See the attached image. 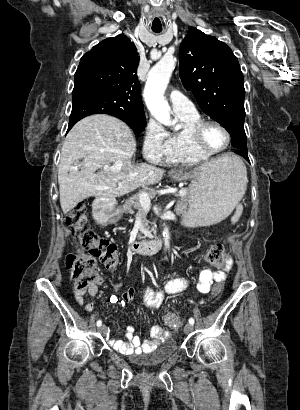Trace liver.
I'll list each match as a JSON object with an SVG mask.
<instances>
[{
	"mask_svg": "<svg viewBox=\"0 0 300 410\" xmlns=\"http://www.w3.org/2000/svg\"><path fill=\"white\" fill-rule=\"evenodd\" d=\"M136 141L129 127L108 115H92L77 122L62 147L58 168L60 205L64 214L88 197H120L139 186L157 184L164 171L145 163L131 165ZM81 162L80 171L69 170ZM232 159L224 154L199 168L223 166ZM122 163L113 171L110 163ZM104 172L95 173L98 168ZM198 169V168H197Z\"/></svg>",
	"mask_w": 300,
	"mask_h": 410,
	"instance_id": "obj_1",
	"label": "liver"
}]
</instances>
